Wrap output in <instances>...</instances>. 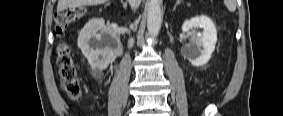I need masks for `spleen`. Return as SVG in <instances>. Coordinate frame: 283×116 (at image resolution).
Segmentation results:
<instances>
[{"label":"spleen","mask_w":283,"mask_h":116,"mask_svg":"<svg viewBox=\"0 0 283 116\" xmlns=\"http://www.w3.org/2000/svg\"><path fill=\"white\" fill-rule=\"evenodd\" d=\"M224 4L230 12H234L236 10V1L235 0H225Z\"/></svg>","instance_id":"1"}]
</instances>
